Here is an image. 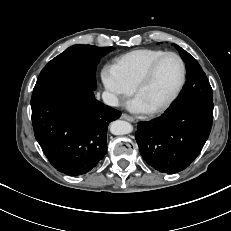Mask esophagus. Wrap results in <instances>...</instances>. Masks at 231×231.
<instances>
[{
    "label": "esophagus",
    "instance_id": "esophagus-1",
    "mask_svg": "<svg viewBox=\"0 0 231 231\" xmlns=\"http://www.w3.org/2000/svg\"><path fill=\"white\" fill-rule=\"evenodd\" d=\"M121 119L127 120L129 122H133L134 121V118L132 116L128 115V114H122L121 115Z\"/></svg>",
    "mask_w": 231,
    "mask_h": 231
}]
</instances>
